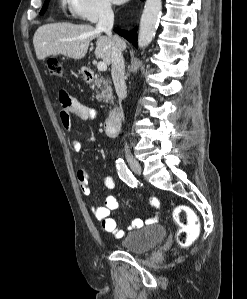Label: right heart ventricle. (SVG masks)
<instances>
[{
    "label": "right heart ventricle",
    "mask_w": 247,
    "mask_h": 299,
    "mask_svg": "<svg viewBox=\"0 0 247 299\" xmlns=\"http://www.w3.org/2000/svg\"><path fill=\"white\" fill-rule=\"evenodd\" d=\"M61 5L64 9H72V0H61Z\"/></svg>",
    "instance_id": "1"
}]
</instances>
